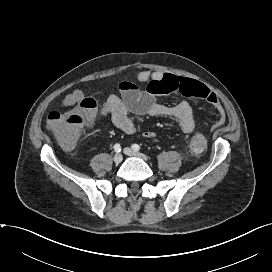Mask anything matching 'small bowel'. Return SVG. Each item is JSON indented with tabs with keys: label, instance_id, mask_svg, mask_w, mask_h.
Listing matches in <instances>:
<instances>
[{
	"label": "small bowel",
	"instance_id": "small-bowel-1",
	"mask_svg": "<svg viewBox=\"0 0 272 272\" xmlns=\"http://www.w3.org/2000/svg\"><path fill=\"white\" fill-rule=\"evenodd\" d=\"M138 84H144L140 89ZM121 96L110 95L102 108L95 111L89 122L110 118L113 124L126 134L136 130L135 120L145 117H168L176 122L183 133H191L195 121L191 106L181 102L174 106H166L157 100V95L179 92L186 97H197L206 100L218 113L219 120L213 127L225 123L226 114L217 96L203 83L168 73L144 70L139 72L134 81L120 82ZM130 115L135 117L133 120ZM144 137L153 138V132H145Z\"/></svg>",
	"mask_w": 272,
	"mask_h": 272
}]
</instances>
